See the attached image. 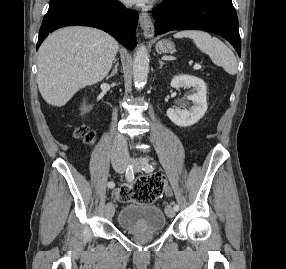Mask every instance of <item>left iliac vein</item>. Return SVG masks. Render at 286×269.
I'll use <instances>...</instances> for the list:
<instances>
[{
	"label": "left iliac vein",
	"instance_id": "left-iliac-vein-1",
	"mask_svg": "<svg viewBox=\"0 0 286 269\" xmlns=\"http://www.w3.org/2000/svg\"><path fill=\"white\" fill-rule=\"evenodd\" d=\"M133 161L135 163V170L139 171L141 169V164L142 163H147L148 160L146 158H140V159H136V160H133ZM165 212H166V215L169 218H172V217L175 216V210H174V208L171 205H167L166 206Z\"/></svg>",
	"mask_w": 286,
	"mask_h": 269
}]
</instances>
